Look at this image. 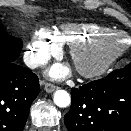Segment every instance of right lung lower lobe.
Listing matches in <instances>:
<instances>
[{
    "mask_svg": "<svg viewBox=\"0 0 131 131\" xmlns=\"http://www.w3.org/2000/svg\"><path fill=\"white\" fill-rule=\"evenodd\" d=\"M40 91L38 77L14 61L0 58V131H22Z\"/></svg>",
    "mask_w": 131,
    "mask_h": 131,
    "instance_id": "obj_1",
    "label": "right lung lower lobe"
}]
</instances>
